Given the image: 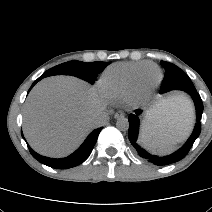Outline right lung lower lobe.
I'll return each mask as SVG.
<instances>
[{"instance_id":"98d812e1","label":"right lung lower lobe","mask_w":212,"mask_h":212,"mask_svg":"<svg viewBox=\"0 0 212 212\" xmlns=\"http://www.w3.org/2000/svg\"><path fill=\"white\" fill-rule=\"evenodd\" d=\"M44 77H47L46 74H42L37 80H35L32 86L30 87L29 91L38 81H40ZM101 130H102V127L92 131L90 135L86 138V140L83 142V144L73 154H71L70 156L66 158L54 159V158L41 156L37 154L29 145H28V148L32 156L36 160H38L40 163H43L55 169L72 168L83 163L89 157ZM21 135L23 137L22 133Z\"/></svg>"}]
</instances>
